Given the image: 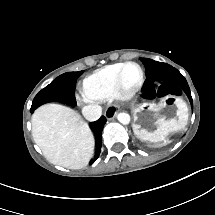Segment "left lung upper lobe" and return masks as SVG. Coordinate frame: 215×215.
Returning a JSON list of instances; mask_svg holds the SVG:
<instances>
[{
  "mask_svg": "<svg viewBox=\"0 0 215 215\" xmlns=\"http://www.w3.org/2000/svg\"><path fill=\"white\" fill-rule=\"evenodd\" d=\"M146 68V80L143 87L150 88L155 82H169L178 85L188 96L193 108V101L186 79L174 67L147 58H140Z\"/></svg>",
  "mask_w": 215,
  "mask_h": 215,
  "instance_id": "1",
  "label": "left lung upper lobe"
}]
</instances>
